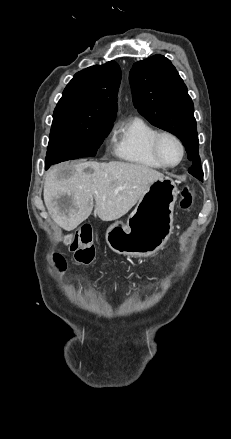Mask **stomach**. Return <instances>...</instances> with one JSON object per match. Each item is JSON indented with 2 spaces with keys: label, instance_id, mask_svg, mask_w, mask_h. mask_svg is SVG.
Returning <instances> with one entry per match:
<instances>
[{
  "label": "stomach",
  "instance_id": "1",
  "mask_svg": "<svg viewBox=\"0 0 231 439\" xmlns=\"http://www.w3.org/2000/svg\"><path fill=\"white\" fill-rule=\"evenodd\" d=\"M179 190L169 177L149 185L126 225L115 222L106 232L108 246L117 254L144 258L167 242L173 229V211Z\"/></svg>",
  "mask_w": 231,
  "mask_h": 439
}]
</instances>
